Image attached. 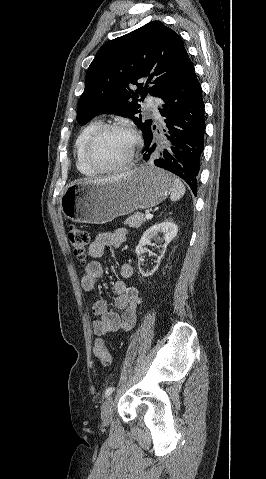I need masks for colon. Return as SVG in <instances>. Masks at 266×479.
I'll return each instance as SVG.
<instances>
[{
    "instance_id": "colon-1",
    "label": "colon",
    "mask_w": 266,
    "mask_h": 479,
    "mask_svg": "<svg viewBox=\"0 0 266 479\" xmlns=\"http://www.w3.org/2000/svg\"><path fill=\"white\" fill-rule=\"evenodd\" d=\"M67 238L74 255L82 262H86L89 254V233L83 228L70 225L67 229ZM93 353L103 365L108 366L111 364L112 356L107 348L105 339L98 338L95 340Z\"/></svg>"
}]
</instances>
